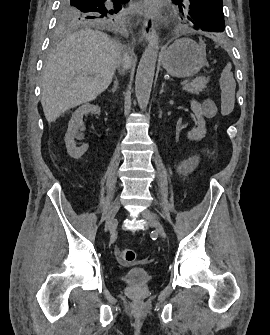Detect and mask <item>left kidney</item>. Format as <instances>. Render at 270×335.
I'll return each instance as SVG.
<instances>
[{
	"mask_svg": "<svg viewBox=\"0 0 270 335\" xmlns=\"http://www.w3.org/2000/svg\"><path fill=\"white\" fill-rule=\"evenodd\" d=\"M191 110L192 112H194L198 120V128H194V130L188 132L187 138L188 140H202V138H205L206 134V126H205L206 122L203 118L201 104H199V102H196V100H192Z\"/></svg>",
	"mask_w": 270,
	"mask_h": 335,
	"instance_id": "1",
	"label": "left kidney"
}]
</instances>
